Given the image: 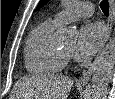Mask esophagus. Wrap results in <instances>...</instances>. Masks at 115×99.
Segmentation results:
<instances>
[{
	"mask_svg": "<svg viewBox=\"0 0 115 99\" xmlns=\"http://www.w3.org/2000/svg\"><path fill=\"white\" fill-rule=\"evenodd\" d=\"M115 17V2L114 0H109V17L107 20V34L105 38V42L108 40ZM96 60L90 65V67L82 74V76L79 79V82L82 84H87L91 78V75L93 73L94 67H95Z\"/></svg>",
	"mask_w": 115,
	"mask_h": 99,
	"instance_id": "34e87169",
	"label": "esophagus"
}]
</instances>
